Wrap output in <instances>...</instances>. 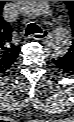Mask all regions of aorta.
I'll return each mask as SVG.
<instances>
[{
  "mask_svg": "<svg viewBox=\"0 0 74 122\" xmlns=\"http://www.w3.org/2000/svg\"><path fill=\"white\" fill-rule=\"evenodd\" d=\"M19 11L30 17L47 16L51 13L49 1H17ZM71 46L70 30L58 24L45 41V50L52 58L63 57Z\"/></svg>",
  "mask_w": 74,
  "mask_h": 122,
  "instance_id": "aorta-1",
  "label": "aorta"
}]
</instances>
